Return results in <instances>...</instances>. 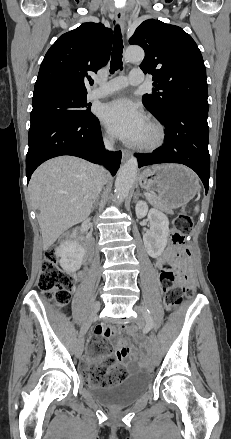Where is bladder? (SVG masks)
Listing matches in <instances>:
<instances>
[{"label":"bladder","instance_id":"31cf9c89","mask_svg":"<svg viewBox=\"0 0 231 439\" xmlns=\"http://www.w3.org/2000/svg\"><path fill=\"white\" fill-rule=\"evenodd\" d=\"M152 383V376L147 372H138L128 376L117 385L99 386L93 384L89 387L91 396L99 403L118 408L132 404L144 394Z\"/></svg>","mask_w":231,"mask_h":439}]
</instances>
